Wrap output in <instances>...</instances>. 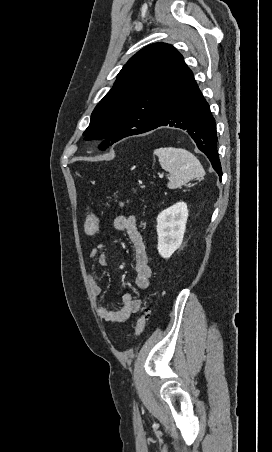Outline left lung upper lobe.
<instances>
[{"instance_id":"5c2ea615","label":"left lung upper lobe","mask_w":272,"mask_h":452,"mask_svg":"<svg viewBox=\"0 0 272 452\" xmlns=\"http://www.w3.org/2000/svg\"><path fill=\"white\" fill-rule=\"evenodd\" d=\"M191 70L171 45L155 43L137 52L117 75L113 88L95 107L86 140L111 143L150 127ZM109 141L101 145L103 149Z\"/></svg>"}]
</instances>
